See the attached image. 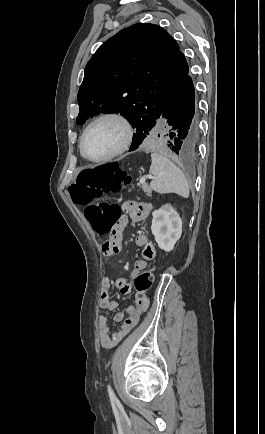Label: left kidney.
I'll return each mask as SVG.
<instances>
[{"label":"left kidney","instance_id":"1","mask_svg":"<svg viewBox=\"0 0 265 434\" xmlns=\"http://www.w3.org/2000/svg\"><path fill=\"white\" fill-rule=\"evenodd\" d=\"M152 216L151 232L159 248L171 252L182 234V220L178 212H175L170 204H166L159 210H154Z\"/></svg>","mask_w":265,"mask_h":434}]
</instances>
